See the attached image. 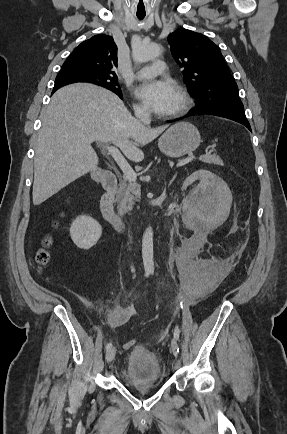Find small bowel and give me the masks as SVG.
I'll use <instances>...</instances> for the list:
<instances>
[{
    "label": "small bowel",
    "mask_w": 287,
    "mask_h": 434,
    "mask_svg": "<svg viewBox=\"0 0 287 434\" xmlns=\"http://www.w3.org/2000/svg\"><path fill=\"white\" fill-rule=\"evenodd\" d=\"M77 296L87 308H94V304L89 299L79 294H77ZM99 306L105 313L107 322L111 327H120L124 325L133 315V309L131 305L118 306L100 299Z\"/></svg>",
    "instance_id": "c3829d8e"
}]
</instances>
